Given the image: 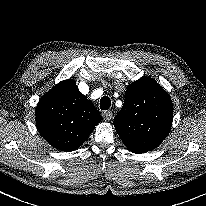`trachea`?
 Listing matches in <instances>:
<instances>
[{
	"label": "trachea",
	"instance_id": "obj_1",
	"mask_svg": "<svg viewBox=\"0 0 206 206\" xmlns=\"http://www.w3.org/2000/svg\"><path fill=\"white\" fill-rule=\"evenodd\" d=\"M111 106V100L109 97L107 96H103L101 99H100V108L101 110H108Z\"/></svg>",
	"mask_w": 206,
	"mask_h": 206
}]
</instances>
